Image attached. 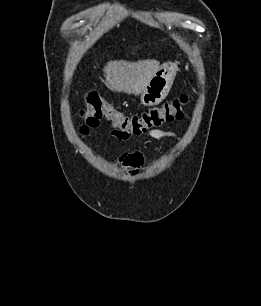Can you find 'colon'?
I'll use <instances>...</instances> for the list:
<instances>
[{
  "label": "colon",
  "mask_w": 261,
  "mask_h": 306,
  "mask_svg": "<svg viewBox=\"0 0 261 306\" xmlns=\"http://www.w3.org/2000/svg\"><path fill=\"white\" fill-rule=\"evenodd\" d=\"M87 105L82 111V133L96 128L100 121H108L114 128L113 132L122 139L141 135L165 122L180 119L188 97L180 95L174 100L159 107H153L140 114H125L105 101L95 90H90L86 97Z\"/></svg>",
  "instance_id": "obj_1"
}]
</instances>
